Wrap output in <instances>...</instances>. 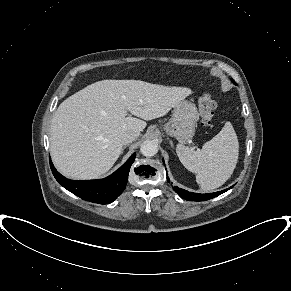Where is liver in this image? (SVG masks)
Listing matches in <instances>:
<instances>
[{"mask_svg": "<svg viewBox=\"0 0 291 291\" xmlns=\"http://www.w3.org/2000/svg\"><path fill=\"white\" fill-rule=\"evenodd\" d=\"M190 94L188 88L140 80L88 85L64 100L52 118L50 153L55 167L71 179L100 177L121 154L124 132H141L144 120L166 115Z\"/></svg>", "mask_w": 291, "mask_h": 291, "instance_id": "obj_1", "label": "liver"}]
</instances>
